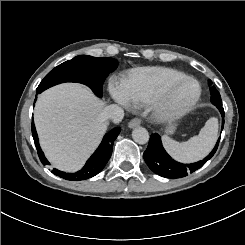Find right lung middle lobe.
Masks as SVG:
<instances>
[{
    "instance_id": "right-lung-middle-lobe-1",
    "label": "right lung middle lobe",
    "mask_w": 245,
    "mask_h": 245,
    "mask_svg": "<svg viewBox=\"0 0 245 245\" xmlns=\"http://www.w3.org/2000/svg\"><path fill=\"white\" fill-rule=\"evenodd\" d=\"M117 68V60L109 57L80 55L49 72L37 88V93L63 82H79L89 86L102 97V85L110 72Z\"/></svg>"
}]
</instances>
